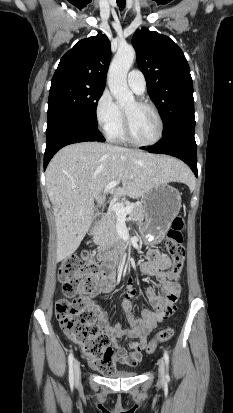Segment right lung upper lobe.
I'll return each mask as SVG.
<instances>
[{
	"mask_svg": "<svg viewBox=\"0 0 233 413\" xmlns=\"http://www.w3.org/2000/svg\"><path fill=\"white\" fill-rule=\"evenodd\" d=\"M110 56V42L106 35L98 33L80 40L61 58L52 84L73 81L105 87Z\"/></svg>",
	"mask_w": 233,
	"mask_h": 413,
	"instance_id": "right-lung-upper-lobe-1",
	"label": "right lung upper lobe"
}]
</instances>
